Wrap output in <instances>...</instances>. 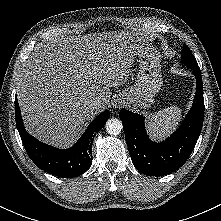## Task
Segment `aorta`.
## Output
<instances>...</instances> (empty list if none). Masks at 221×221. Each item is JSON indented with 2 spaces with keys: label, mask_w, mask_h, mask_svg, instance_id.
I'll return each instance as SVG.
<instances>
[{
  "label": "aorta",
  "mask_w": 221,
  "mask_h": 221,
  "mask_svg": "<svg viewBox=\"0 0 221 221\" xmlns=\"http://www.w3.org/2000/svg\"><path fill=\"white\" fill-rule=\"evenodd\" d=\"M123 129L122 122L117 118H111L106 122V131L110 135H118Z\"/></svg>",
  "instance_id": "obj_1"
}]
</instances>
